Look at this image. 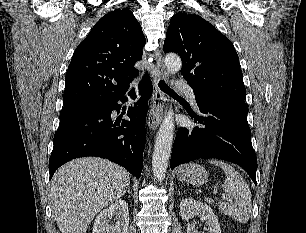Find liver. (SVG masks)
<instances>
[{
	"label": "liver",
	"mask_w": 306,
	"mask_h": 233,
	"mask_svg": "<svg viewBox=\"0 0 306 233\" xmlns=\"http://www.w3.org/2000/svg\"><path fill=\"white\" fill-rule=\"evenodd\" d=\"M129 185V173L105 159L86 157L62 166L49 190L61 233H86L95 215L121 198Z\"/></svg>",
	"instance_id": "6515ba94"
}]
</instances>
